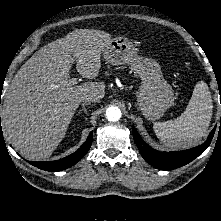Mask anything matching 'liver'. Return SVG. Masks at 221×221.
<instances>
[{"mask_svg": "<svg viewBox=\"0 0 221 221\" xmlns=\"http://www.w3.org/2000/svg\"><path fill=\"white\" fill-rule=\"evenodd\" d=\"M112 40L102 31L78 29L43 47L18 70L4 92L2 123L23 156H50L82 100L104 98V83L72 85L70 69L76 64L82 78L96 79L102 51Z\"/></svg>", "mask_w": 221, "mask_h": 221, "instance_id": "1", "label": "liver"}]
</instances>
